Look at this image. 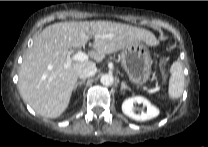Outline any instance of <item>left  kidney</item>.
<instances>
[{"mask_svg": "<svg viewBox=\"0 0 208 147\" xmlns=\"http://www.w3.org/2000/svg\"><path fill=\"white\" fill-rule=\"evenodd\" d=\"M134 103L142 104L147 108L146 112H142L141 114H137L134 111ZM122 111L128 117L136 120V121H146L157 117L159 115V110L153 106L149 100L142 96H134L131 98L126 99L122 103Z\"/></svg>", "mask_w": 208, "mask_h": 147, "instance_id": "1", "label": "left kidney"}]
</instances>
